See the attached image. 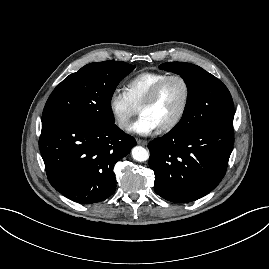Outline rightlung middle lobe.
I'll return each mask as SVG.
<instances>
[{
    "mask_svg": "<svg viewBox=\"0 0 269 269\" xmlns=\"http://www.w3.org/2000/svg\"><path fill=\"white\" fill-rule=\"evenodd\" d=\"M135 66L121 61L95 62L67 76L51 93L42 122L68 118L94 126L114 124L110 101L120 80Z\"/></svg>",
    "mask_w": 269,
    "mask_h": 269,
    "instance_id": "dd1d6c3e",
    "label": "right lung middle lobe"
}]
</instances>
